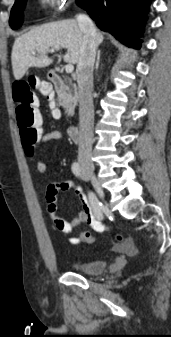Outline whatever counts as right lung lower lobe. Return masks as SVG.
<instances>
[{"label": "right lung lower lobe", "mask_w": 171, "mask_h": 337, "mask_svg": "<svg viewBox=\"0 0 171 337\" xmlns=\"http://www.w3.org/2000/svg\"><path fill=\"white\" fill-rule=\"evenodd\" d=\"M97 26L123 44L140 48L150 0H77Z\"/></svg>", "instance_id": "obj_1"}]
</instances>
